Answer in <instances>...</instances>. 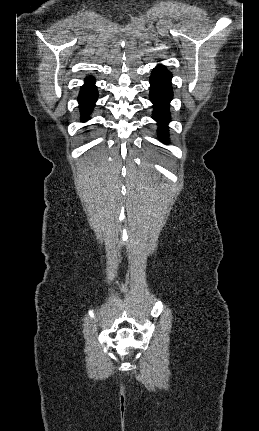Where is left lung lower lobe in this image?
Listing matches in <instances>:
<instances>
[{"mask_svg":"<svg viewBox=\"0 0 259 431\" xmlns=\"http://www.w3.org/2000/svg\"><path fill=\"white\" fill-rule=\"evenodd\" d=\"M171 73L164 66H157L150 77V101L154 104L153 118L160 127L159 133L165 141L169 117V102L173 97L171 86Z\"/></svg>","mask_w":259,"mask_h":431,"instance_id":"obj_1","label":"left lung lower lobe"}]
</instances>
